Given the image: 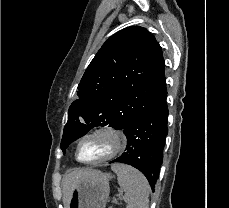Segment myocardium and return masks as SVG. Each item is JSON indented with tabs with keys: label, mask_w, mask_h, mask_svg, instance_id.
Returning <instances> with one entry per match:
<instances>
[{
	"label": "myocardium",
	"mask_w": 229,
	"mask_h": 208,
	"mask_svg": "<svg viewBox=\"0 0 229 208\" xmlns=\"http://www.w3.org/2000/svg\"><path fill=\"white\" fill-rule=\"evenodd\" d=\"M88 137V138H86ZM105 143L106 147H117V149L107 156L96 160L85 161L79 156V147L82 143ZM127 145V136L125 132L113 125H100L84 133L77 141L75 146V157L83 164H98L110 161L120 155Z\"/></svg>",
	"instance_id": "1"
}]
</instances>
